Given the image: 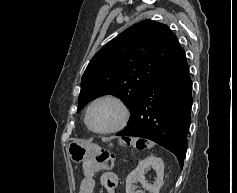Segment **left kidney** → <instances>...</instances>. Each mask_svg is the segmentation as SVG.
<instances>
[{"label": "left kidney", "mask_w": 237, "mask_h": 193, "mask_svg": "<svg viewBox=\"0 0 237 193\" xmlns=\"http://www.w3.org/2000/svg\"><path fill=\"white\" fill-rule=\"evenodd\" d=\"M151 166L156 171V180L153 184H149L145 180V170ZM164 177V163L161 158L155 156H148L144 160L140 161L135 170H133L126 178V193H142L136 191L134 183L140 182L142 187L149 190L150 193H159L160 188L163 185Z\"/></svg>", "instance_id": "5707ae66"}]
</instances>
